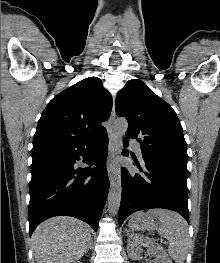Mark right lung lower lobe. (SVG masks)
I'll list each match as a JSON object with an SVG mask.
<instances>
[{"label":"right lung lower lobe","instance_id":"1","mask_svg":"<svg viewBox=\"0 0 220 263\" xmlns=\"http://www.w3.org/2000/svg\"><path fill=\"white\" fill-rule=\"evenodd\" d=\"M107 154V132L84 142L32 149L29 236L38 224L58 215L83 220L97 231L109 190ZM80 156L97 167H77Z\"/></svg>","mask_w":220,"mask_h":263}]
</instances>
